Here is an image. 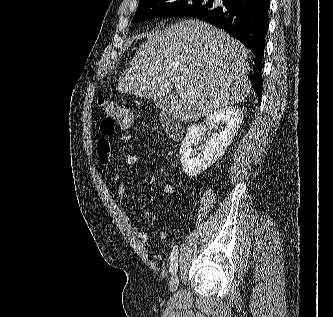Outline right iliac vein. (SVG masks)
Listing matches in <instances>:
<instances>
[{"label": "right iliac vein", "instance_id": "1", "mask_svg": "<svg viewBox=\"0 0 333 317\" xmlns=\"http://www.w3.org/2000/svg\"><path fill=\"white\" fill-rule=\"evenodd\" d=\"M178 285H179V278L178 275L175 273L170 280L169 290L171 292L175 291L178 288Z\"/></svg>", "mask_w": 333, "mask_h": 317}]
</instances>
